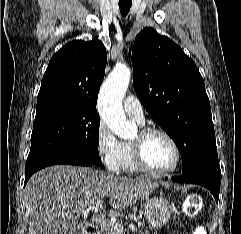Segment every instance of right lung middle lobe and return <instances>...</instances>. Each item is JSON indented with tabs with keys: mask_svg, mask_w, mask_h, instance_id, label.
<instances>
[{
	"mask_svg": "<svg viewBox=\"0 0 241 234\" xmlns=\"http://www.w3.org/2000/svg\"><path fill=\"white\" fill-rule=\"evenodd\" d=\"M31 149L66 146L101 166L98 152L100 118L96 110L66 104L37 106Z\"/></svg>",
	"mask_w": 241,
	"mask_h": 234,
	"instance_id": "right-lung-middle-lobe-1",
	"label": "right lung middle lobe"
}]
</instances>
